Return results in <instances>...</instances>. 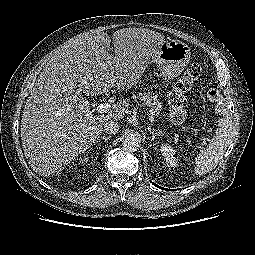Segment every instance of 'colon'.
I'll list each match as a JSON object with an SVG mask.
<instances>
[{
  "label": "colon",
  "instance_id": "1",
  "mask_svg": "<svg viewBox=\"0 0 255 255\" xmlns=\"http://www.w3.org/2000/svg\"><path fill=\"white\" fill-rule=\"evenodd\" d=\"M201 71V66L198 63L191 64L174 83L168 97L171 121L176 125H182L186 131H188V128L184 126L187 117L186 93L192 89L195 82L199 79ZM207 97L210 101L217 102L220 98V92L214 88L209 89Z\"/></svg>",
  "mask_w": 255,
  "mask_h": 255
}]
</instances>
